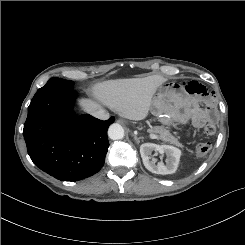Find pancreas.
<instances>
[{
    "label": "pancreas",
    "instance_id": "obj_1",
    "mask_svg": "<svg viewBox=\"0 0 245 245\" xmlns=\"http://www.w3.org/2000/svg\"><path fill=\"white\" fill-rule=\"evenodd\" d=\"M152 133H157L159 134L158 139H161L164 142H167L169 144L178 146L182 148V144L178 141V139L173 136L168 130H166L164 127L162 126H156L153 127L150 130Z\"/></svg>",
    "mask_w": 245,
    "mask_h": 245
}]
</instances>
